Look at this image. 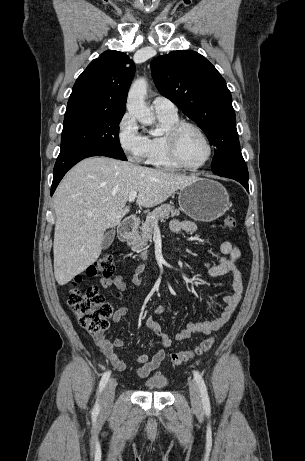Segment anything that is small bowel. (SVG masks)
Segmentation results:
<instances>
[{
    "label": "small bowel",
    "instance_id": "small-bowel-1",
    "mask_svg": "<svg viewBox=\"0 0 305 461\" xmlns=\"http://www.w3.org/2000/svg\"><path fill=\"white\" fill-rule=\"evenodd\" d=\"M170 227L173 233H194L196 231L195 223L190 220L173 219ZM219 250L221 257L219 258L217 264L210 265L207 262H203V266L209 277H219L227 274L231 276L232 291L223 298L225 307L218 317L202 322L188 323L185 328L176 333L177 340L188 339L194 334L208 335L219 330L230 320L242 299L244 291L243 276L241 270L236 266V262L241 256L240 250L237 245L226 240L220 241ZM142 274L143 267H139L133 274L132 281L134 283H139L141 281ZM100 285L104 289L114 286L120 292L126 290V283L121 276L103 278L100 281ZM165 309L164 305H159L156 307L155 313L161 314L165 311ZM127 313L128 308L119 307L113 314V322H119L125 315H127ZM146 324L148 329L159 338L162 348L156 352L152 358H149L147 354H142L137 358V363L140 366L136 369V374L142 378L148 377L152 371L159 367L161 362L165 359V349L171 347L173 343L172 339L162 330L160 324L152 315L147 318ZM94 341L115 369L119 371L128 369L127 362L121 359L114 350L115 347L119 348L124 345L122 339L115 338L114 341L111 342L101 333L94 336Z\"/></svg>",
    "mask_w": 305,
    "mask_h": 461
}]
</instances>
